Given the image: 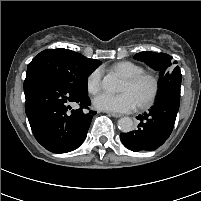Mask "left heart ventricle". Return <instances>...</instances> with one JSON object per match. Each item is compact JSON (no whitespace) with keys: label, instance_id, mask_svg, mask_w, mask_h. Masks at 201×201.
<instances>
[{"label":"left heart ventricle","instance_id":"obj_1","mask_svg":"<svg viewBox=\"0 0 201 201\" xmlns=\"http://www.w3.org/2000/svg\"><path fill=\"white\" fill-rule=\"evenodd\" d=\"M151 90V84L149 81L144 80L136 85H130L126 80L124 81L121 91L122 92H130L134 98L136 99L137 103L145 99Z\"/></svg>","mask_w":201,"mask_h":201}]
</instances>
